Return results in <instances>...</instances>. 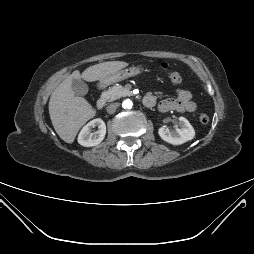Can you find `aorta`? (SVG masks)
I'll use <instances>...</instances> for the list:
<instances>
[{"mask_svg":"<svg viewBox=\"0 0 254 254\" xmlns=\"http://www.w3.org/2000/svg\"><path fill=\"white\" fill-rule=\"evenodd\" d=\"M132 105H133V103H132V101L129 100V99L124 100L123 103H122V107H123L124 109H131V108H132Z\"/></svg>","mask_w":254,"mask_h":254,"instance_id":"obj_1","label":"aorta"}]
</instances>
